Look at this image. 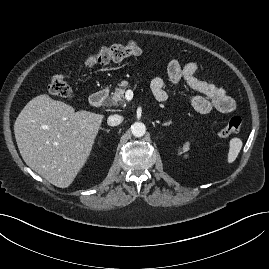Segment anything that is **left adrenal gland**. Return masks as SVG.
<instances>
[{"label": "left adrenal gland", "mask_w": 269, "mask_h": 269, "mask_svg": "<svg viewBox=\"0 0 269 269\" xmlns=\"http://www.w3.org/2000/svg\"><path fill=\"white\" fill-rule=\"evenodd\" d=\"M170 124L171 122H167V123L162 124V126H169Z\"/></svg>", "instance_id": "obj_1"}]
</instances>
